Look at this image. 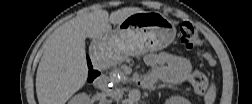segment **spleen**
I'll list each match as a JSON object with an SVG mask.
<instances>
[{
	"label": "spleen",
	"mask_w": 252,
	"mask_h": 104,
	"mask_svg": "<svg viewBox=\"0 0 252 104\" xmlns=\"http://www.w3.org/2000/svg\"><path fill=\"white\" fill-rule=\"evenodd\" d=\"M215 98H216V86L215 84L212 83L204 96L205 103L212 104L215 101Z\"/></svg>",
	"instance_id": "1"
}]
</instances>
